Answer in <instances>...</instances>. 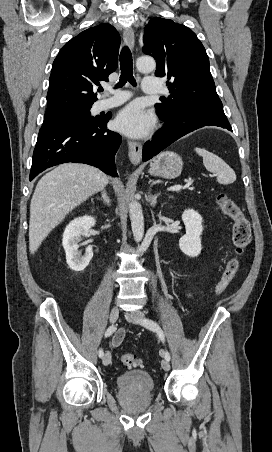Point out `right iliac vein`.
Listing matches in <instances>:
<instances>
[{
    "mask_svg": "<svg viewBox=\"0 0 272 452\" xmlns=\"http://www.w3.org/2000/svg\"><path fill=\"white\" fill-rule=\"evenodd\" d=\"M119 317V308L118 307H113L111 312H110V322L113 324L117 321ZM103 365L108 366L111 363V354L109 352H106L104 357H103Z\"/></svg>",
    "mask_w": 272,
    "mask_h": 452,
    "instance_id": "right-iliac-vein-1",
    "label": "right iliac vein"
}]
</instances>
